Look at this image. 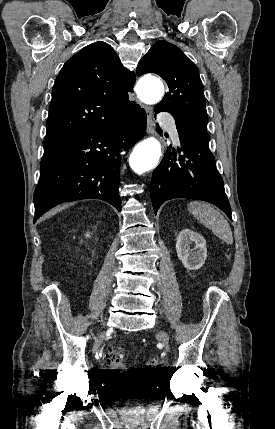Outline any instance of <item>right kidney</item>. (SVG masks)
Wrapping results in <instances>:
<instances>
[{
  "label": "right kidney",
  "mask_w": 275,
  "mask_h": 429,
  "mask_svg": "<svg viewBox=\"0 0 275 429\" xmlns=\"http://www.w3.org/2000/svg\"><path fill=\"white\" fill-rule=\"evenodd\" d=\"M86 237H88V238L90 237V233L89 232L86 233Z\"/></svg>",
  "instance_id": "1"
}]
</instances>
